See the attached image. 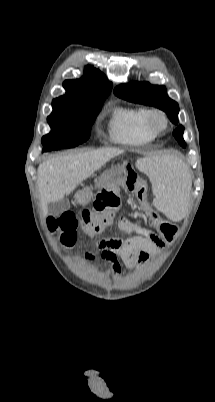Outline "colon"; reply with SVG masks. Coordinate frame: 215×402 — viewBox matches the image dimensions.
<instances>
[{
  "instance_id": "colon-1",
  "label": "colon",
  "mask_w": 215,
  "mask_h": 402,
  "mask_svg": "<svg viewBox=\"0 0 215 402\" xmlns=\"http://www.w3.org/2000/svg\"><path fill=\"white\" fill-rule=\"evenodd\" d=\"M121 162L123 165H127L124 177L119 180L118 184L102 189L97 195L92 208L82 210L80 216L82 230L87 235H93L114 222L117 213L122 207L123 193L121 187H123L141 204L142 210L152 221L159 235L164 238V242L167 243L168 246H173L174 243H176L173 238L177 235L178 227L162 219L148 206L145 200L146 182L130 166L132 162L131 157L123 156ZM108 167L114 168L115 162L109 161ZM130 223H132V221L126 218H121L118 222L120 228H126ZM48 225L51 231H59L58 237L63 245L70 247L75 244L78 221L72 213L66 212L59 218L50 217Z\"/></svg>"
}]
</instances>
